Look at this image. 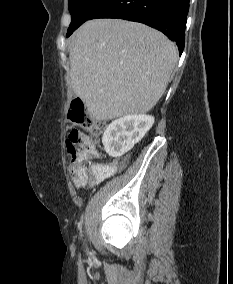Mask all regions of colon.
I'll list each match as a JSON object with an SVG mask.
<instances>
[{
  "mask_svg": "<svg viewBox=\"0 0 233 284\" xmlns=\"http://www.w3.org/2000/svg\"><path fill=\"white\" fill-rule=\"evenodd\" d=\"M69 118L82 129H72L67 139V149L71 157V178L75 186L81 187L86 179V163L97 155L95 141L102 133L104 124L88 111L81 99L71 102Z\"/></svg>",
  "mask_w": 233,
  "mask_h": 284,
  "instance_id": "obj_1",
  "label": "colon"
}]
</instances>
